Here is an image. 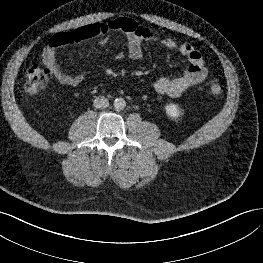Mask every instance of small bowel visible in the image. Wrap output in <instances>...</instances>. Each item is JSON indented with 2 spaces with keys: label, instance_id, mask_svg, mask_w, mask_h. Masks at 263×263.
Segmentation results:
<instances>
[{
  "label": "small bowel",
  "instance_id": "small-bowel-1",
  "mask_svg": "<svg viewBox=\"0 0 263 263\" xmlns=\"http://www.w3.org/2000/svg\"><path fill=\"white\" fill-rule=\"evenodd\" d=\"M121 33L128 41V56L133 60L142 57L144 42H157L169 50L178 51L188 59L189 66L176 77H161L154 83L158 94L179 97L192 86L202 83L207 77L202 55L188 42H178L173 37H159L154 30L137 24L129 18H119L107 23H95L78 27L72 31L59 32L53 35L43 51L42 60L55 78L63 85L77 87L85 74L71 75L66 73L56 60V51L61 47L76 44L87 39L98 38L104 44L108 38Z\"/></svg>",
  "mask_w": 263,
  "mask_h": 263
}]
</instances>
